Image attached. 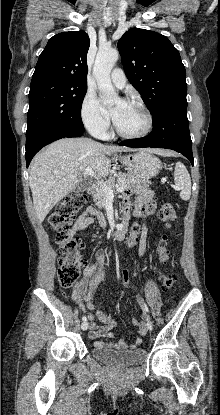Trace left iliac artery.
I'll use <instances>...</instances> for the list:
<instances>
[{
  "label": "left iliac artery",
  "instance_id": "1",
  "mask_svg": "<svg viewBox=\"0 0 220 415\" xmlns=\"http://www.w3.org/2000/svg\"><path fill=\"white\" fill-rule=\"evenodd\" d=\"M140 305H141V308L143 309L144 312H149L147 304L145 303L144 300L140 301Z\"/></svg>",
  "mask_w": 220,
  "mask_h": 415
}]
</instances>
